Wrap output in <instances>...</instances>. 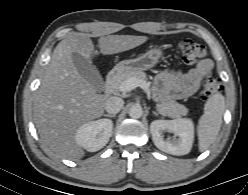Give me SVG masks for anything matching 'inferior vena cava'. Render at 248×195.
Masks as SVG:
<instances>
[{
    "mask_svg": "<svg viewBox=\"0 0 248 195\" xmlns=\"http://www.w3.org/2000/svg\"><path fill=\"white\" fill-rule=\"evenodd\" d=\"M124 101L120 97H110L106 100L105 109L109 114H117L123 107Z\"/></svg>",
    "mask_w": 248,
    "mask_h": 195,
    "instance_id": "1",
    "label": "inferior vena cava"
}]
</instances>
